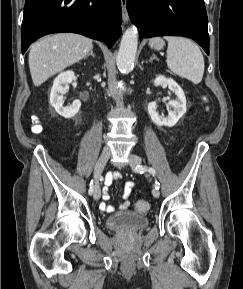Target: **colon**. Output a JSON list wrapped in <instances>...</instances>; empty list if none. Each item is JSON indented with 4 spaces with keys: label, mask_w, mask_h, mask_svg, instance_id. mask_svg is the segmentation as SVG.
Instances as JSON below:
<instances>
[{
    "label": "colon",
    "mask_w": 243,
    "mask_h": 289,
    "mask_svg": "<svg viewBox=\"0 0 243 289\" xmlns=\"http://www.w3.org/2000/svg\"><path fill=\"white\" fill-rule=\"evenodd\" d=\"M33 124H32V131L34 133H41L43 128L41 126V124L39 123V120L37 117H33V120H32ZM134 208L137 212H140V213H145L149 210L150 206H149V203L147 201H144V200H138L135 202L134 204Z\"/></svg>",
    "instance_id": "colon-1"
}]
</instances>
